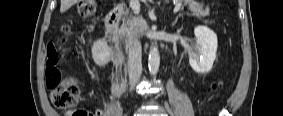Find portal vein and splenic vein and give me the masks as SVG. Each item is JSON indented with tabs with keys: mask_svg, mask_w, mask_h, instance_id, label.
<instances>
[{
	"mask_svg": "<svg viewBox=\"0 0 283 116\" xmlns=\"http://www.w3.org/2000/svg\"><path fill=\"white\" fill-rule=\"evenodd\" d=\"M130 4H131V8L134 11V13L138 15L140 13V5L138 4V2L135 1V0H131ZM180 7H181L180 3L176 4V6L174 7L173 12L177 13L180 10Z\"/></svg>",
	"mask_w": 283,
	"mask_h": 116,
	"instance_id": "portal-vein-and-splenic-vein-1",
	"label": "portal vein and splenic vein"
}]
</instances>
